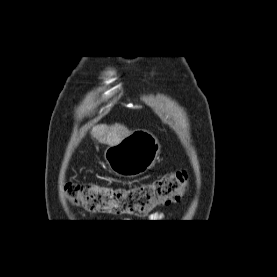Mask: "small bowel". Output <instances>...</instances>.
Returning a JSON list of instances; mask_svg holds the SVG:
<instances>
[{"mask_svg": "<svg viewBox=\"0 0 277 277\" xmlns=\"http://www.w3.org/2000/svg\"><path fill=\"white\" fill-rule=\"evenodd\" d=\"M163 217H164V216H163V214H161V213H154V214L151 215V218H152L153 220H161Z\"/></svg>", "mask_w": 277, "mask_h": 277, "instance_id": "obj_1", "label": "small bowel"}]
</instances>
